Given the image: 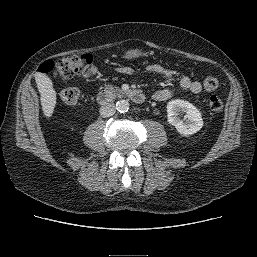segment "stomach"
<instances>
[{"instance_id": "0dacf381", "label": "stomach", "mask_w": 257, "mask_h": 257, "mask_svg": "<svg viewBox=\"0 0 257 257\" xmlns=\"http://www.w3.org/2000/svg\"><path fill=\"white\" fill-rule=\"evenodd\" d=\"M143 56H147V53L139 49H130L124 53L123 58L127 60H132Z\"/></svg>"}]
</instances>
